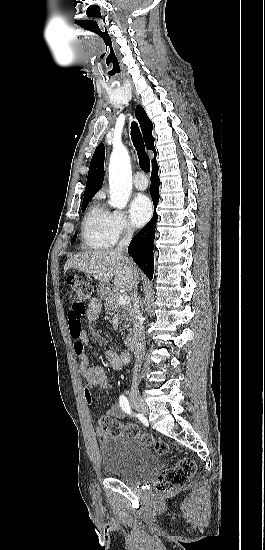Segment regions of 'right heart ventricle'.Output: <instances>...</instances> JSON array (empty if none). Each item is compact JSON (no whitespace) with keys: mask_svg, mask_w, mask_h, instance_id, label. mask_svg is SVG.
Returning <instances> with one entry per match:
<instances>
[{"mask_svg":"<svg viewBox=\"0 0 265 550\" xmlns=\"http://www.w3.org/2000/svg\"><path fill=\"white\" fill-rule=\"evenodd\" d=\"M110 219L111 213L100 203H94L88 209L81 227V240L85 248L104 250L114 243Z\"/></svg>","mask_w":265,"mask_h":550,"instance_id":"e07e8e85","label":"right heart ventricle"}]
</instances>
